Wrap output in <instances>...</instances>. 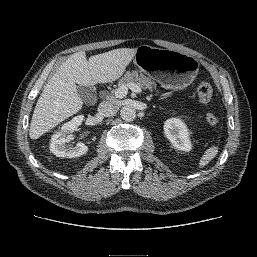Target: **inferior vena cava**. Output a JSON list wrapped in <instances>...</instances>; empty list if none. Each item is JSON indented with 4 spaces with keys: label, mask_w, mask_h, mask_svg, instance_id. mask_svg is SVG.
I'll list each match as a JSON object with an SVG mask.
<instances>
[{
    "label": "inferior vena cava",
    "mask_w": 257,
    "mask_h": 257,
    "mask_svg": "<svg viewBox=\"0 0 257 257\" xmlns=\"http://www.w3.org/2000/svg\"><path fill=\"white\" fill-rule=\"evenodd\" d=\"M118 108V104L114 101H103L98 106V113L101 116L109 117L114 115L117 112Z\"/></svg>",
    "instance_id": "602c4592"
}]
</instances>
